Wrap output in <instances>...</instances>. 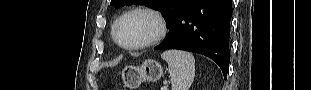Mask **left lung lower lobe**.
<instances>
[{
    "instance_id": "1",
    "label": "left lung lower lobe",
    "mask_w": 311,
    "mask_h": 90,
    "mask_svg": "<svg viewBox=\"0 0 311 90\" xmlns=\"http://www.w3.org/2000/svg\"><path fill=\"white\" fill-rule=\"evenodd\" d=\"M232 0H195L177 18L155 50L180 49L203 54L217 63L226 79Z\"/></svg>"
}]
</instances>
